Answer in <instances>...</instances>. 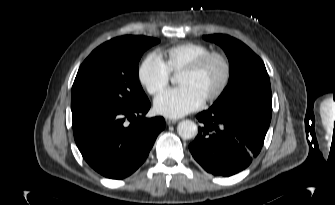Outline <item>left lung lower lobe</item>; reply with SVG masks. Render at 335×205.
Here are the masks:
<instances>
[{
  "label": "left lung lower lobe",
  "instance_id": "left-lung-lower-lobe-1",
  "mask_svg": "<svg viewBox=\"0 0 335 205\" xmlns=\"http://www.w3.org/2000/svg\"><path fill=\"white\" fill-rule=\"evenodd\" d=\"M271 116L272 110L252 104L211 107L197 115L203 125L189 150L207 172L234 175L259 154Z\"/></svg>",
  "mask_w": 335,
  "mask_h": 205
}]
</instances>
